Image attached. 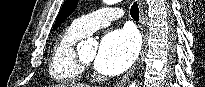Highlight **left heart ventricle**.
<instances>
[{
    "label": "left heart ventricle",
    "mask_w": 205,
    "mask_h": 87,
    "mask_svg": "<svg viewBox=\"0 0 205 87\" xmlns=\"http://www.w3.org/2000/svg\"><path fill=\"white\" fill-rule=\"evenodd\" d=\"M95 56H96V49L81 53L82 59L90 64L94 61Z\"/></svg>",
    "instance_id": "1"
}]
</instances>
